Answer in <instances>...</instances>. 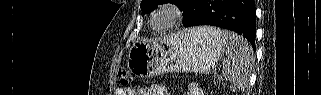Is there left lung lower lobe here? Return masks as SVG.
<instances>
[{"label":"left lung lower lobe","mask_w":321,"mask_h":95,"mask_svg":"<svg viewBox=\"0 0 321 95\" xmlns=\"http://www.w3.org/2000/svg\"><path fill=\"white\" fill-rule=\"evenodd\" d=\"M183 11L185 27L212 25L235 31L255 48L254 0H190Z\"/></svg>","instance_id":"1"}]
</instances>
